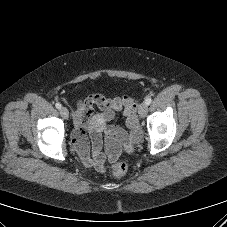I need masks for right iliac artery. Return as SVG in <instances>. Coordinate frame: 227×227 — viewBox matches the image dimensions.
I'll return each instance as SVG.
<instances>
[{"label": "right iliac artery", "instance_id": "right-iliac-artery-1", "mask_svg": "<svg viewBox=\"0 0 227 227\" xmlns=\"http://www.w3.org/2000/svg\"><path fill=\"white\" fill-rule=\"evenodd\" d=\"M55 106H56L57 109H61V104L60 103H56Z\"/></svg>", "mask_w": 227, "mask_h": 227}]
</instances>
